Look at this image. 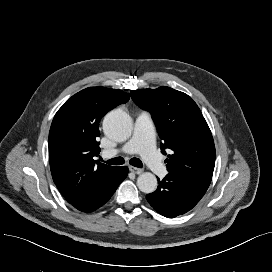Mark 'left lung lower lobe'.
Returning a JSON list of instances; mask_svg holds the SVG:
<instances>
[{
    "instance_id": "1",
    "label": "left lung lower lobe",
    "mask_w": 272,
    "mask_h": 272,
    "mask_svg": "<svg viewBox=\"0 0 272 272\" xmlns=\"http://www.w3.org/2000/svg\"><path fill=\"white\" fill-rule=\"evenodd\" d=\"M211 181L178 173H168L157 190L146 196L161 215L174 218L191 210L204 196Z\"/></svg>"
}]
</instances>
